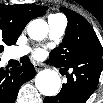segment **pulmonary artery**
I'll return each instance as SVG.
<instances>
[{"label":"pulmonary artery","mask_w":103,"mask_h":103,"mask_svg":"<svg viewBox=\"0 0 103 103\" xmlns=\"http://www.w3.org/2000/svg\"><path fill=\"white\" fill-rule=\"evenodd\" d=\"M48 26H49V38L52 40H58L65 33L67 20L62 15H50L48 18ZM29 52H30V47L20 46V47L13 48L9 52V57L18 59L20 57L25 56Z\"/></svg>","instance_id":"1"}]
</instances>
